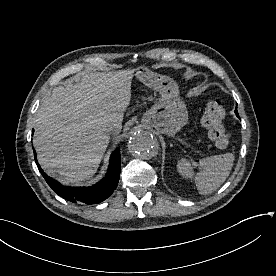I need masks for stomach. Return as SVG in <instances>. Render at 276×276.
I'll list each match as a JSON object with an SVG mask.
<instances>
[{
	"mask_svg": "<svg viewBox=\"0 0 276 276\" xmlns=\"http://www.w3.org/2000/svg\"><path fill=\"white\" fill-rule=\"evenodd\" d=\"M135 75L143 84L160 93L159 100L144 114L143 122L160 133L173 136L188 121V111L180 97L178 84L144 66L137 67Z\"/></svg>",
	"mask_w": 276,
	"mask_h": 276,
	"instance_id": "0dacf381",
	"label": "stomach"
}]
</instances>
